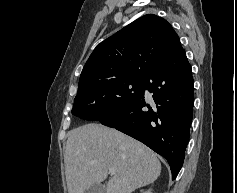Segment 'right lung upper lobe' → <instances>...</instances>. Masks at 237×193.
<instances>
[{
    "label": "right lung upper lobe",
    "mask_w": 237,
    "mask_h": 193,
    "mask_svg": "<svg viewBox=\"0 0 237 193\" xmlns=\"http://www.w3.org/2000/svg\"><path fill=\"white\" fill-rule=\"evenodd\" d=\"M181 49L165 19L144 15L96 46L81 72L78 90L107 80L144 78Z\"/></svg>",
    "instance_id": "right-lung-upper-lobe-1"
}]
</instances>
